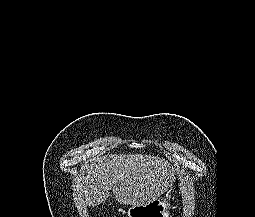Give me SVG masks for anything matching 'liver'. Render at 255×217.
I'll return each mask as SVG.
<instances>
[{
  "mask_svg": "<svg viewBox=\"0 0 255 217\" xmlns=\"http://www.w3.org/2000/svg\"><path fill=\"white\" fill-rule=\"evenodd\" d=\"M173 182V168L159 157L106 155L83 167L74 201L82 207L98 206L112 190L120 204L140 206L160 197Z\"/></svg>",
  "mask_w": 255,
  "mask_h": 217,
  "instance_id": "obj_1",
  "label": "liver"
}]
</instances>
